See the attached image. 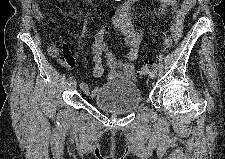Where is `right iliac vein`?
<instances>
[{
	"mask_svg": "<svg viewBox=\"0 0 225 159\" xmlns=\"http://www.w3.org/2000/svg\"><path fill=\"white\" fill-rule=\"evenodd\" d=\"M77 86V82L75 80H72L71 84H70V90H74Z\"/></svg>",
	"mask_w": 225,
	"mask_h": 159,
	"instance_id": "right-iliac-vein-1",
	"label": "right iliac vein"
}]
</instances>
